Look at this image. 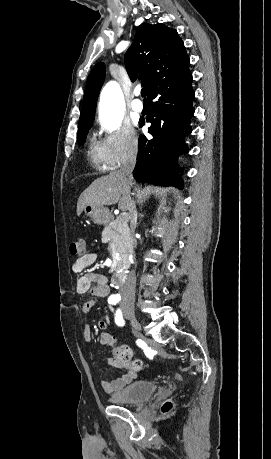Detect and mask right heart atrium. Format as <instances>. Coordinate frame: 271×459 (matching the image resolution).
<instances>
[{"mask_svg":"<svg viewBox=\"0 0 271 459\" xmlns=\"http://www.w3.org/2000/svg\"><path fill=\"white\" fill-rule=\"evenodd\" d=\"M139 147L135 130L130 125L119 126L107 133L98 142L102 164L108 169H115L125 158L133 157Z\"/></svg>","mask_w":271,"mask_h":459,"instance_id":"right-heart-atrium-1","label":"right heart atrium"}]
</instances>
